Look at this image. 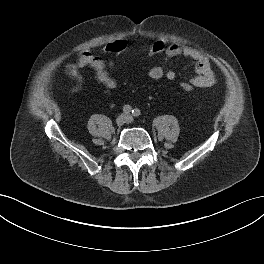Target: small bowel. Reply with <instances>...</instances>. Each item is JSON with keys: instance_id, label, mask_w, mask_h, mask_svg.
Listing matches in <instances>:
<instances>
[{"instance_id": "1", "label": "small bowel", "mask_w": 264, "mask_h": 264, "mask_svg": "<svg viewBox=\"0 0 264 264\" xmlns=\"http://www.w3.org/2000/svg\"><path fill=\"white\" fill-rule=\"evenodd\" d=\"M165 61L173 58L191 59L195 61V77L191 79L195 87H210L215 83V74L211 68L208 58L202 55L198 50L182 45L180 43H171L164 50ZM78 67L83 69L91 67L96 73L97 80L108 89L117 87V80L111 75L110 69L113 63L107 64L102 58L93 55L89 50L80 53L77 61ZM147 76L152 80L165 78L174 80L176 72L173 69H167L163 65H157L148 70Z\"/></svg>"}]
</instances>
